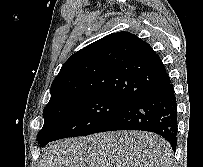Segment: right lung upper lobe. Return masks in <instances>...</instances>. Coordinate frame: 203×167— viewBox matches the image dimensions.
<instances>
[{"label":"right lung upper lobe","instance_id":"cb5924a9","mask_svg":"<svg viewBox=\"0 0 203 167\" xmlns=\"http://www.w3.org/2000/svg\"><path fill=\"white\" fill-rule=\"evenodd\" d=\"M169 78L151 46L129 32L107 35L73 54L51 85L44 109L68 100L106 95L132 102Z\"/></svg>","mask_w":203,"mask_h":167}]
</instances>
